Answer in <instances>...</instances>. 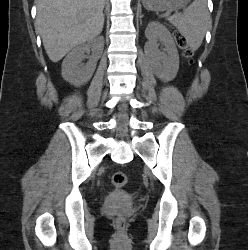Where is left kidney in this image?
<instances>
[{
	"label": "left kidney",
	"instance_id": "obj_1",
	"mask_svg": "<svg viewBox=\"0 0 248 250\" xmlns=\"http://www.w3.org/2000/svg\"><path fill=\"white\" fill-rule=\"evenodd\" d=\"M145 36L154 74L165 82L173 80L179 69V55L170 32L160 23L151 22L145 30ZM157 41L165 46L164 52L158 50Z\"/></svg>",
	"mask_w": 248,
	"mask_h": 250
}]
</instances>
